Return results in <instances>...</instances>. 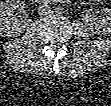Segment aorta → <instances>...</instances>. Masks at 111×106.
Instances as JSON below:
<instances>
[{
	"instance_id": "762f6f07",
	"label": "aorta",
	"mask_w": 111,
	"mask_h": 106,
	"mask_svg": "<svg viewBox=\"0 0 111 106\" xmlns=\"http://www.w3.org/2000/svg\"><path fill=\"white\" fill-rule=\"evenodd\" d=\"M56 12L61 14L64 12V8L63 7H57Z\"/></svg>"
}]
</instances>
